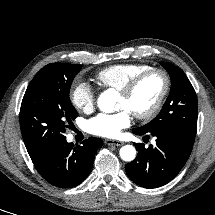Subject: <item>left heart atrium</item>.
Returning a JSON list of instances; mask_svg holds the SVG:
<instances>
[{
    "label": "left heart atrium",
    "mask_w": 215,
    "mask_h": 215,
    "mask_svg": "<svg viewBox=\"0 0 215 215\" xmlns=\"http://www.w3.org/2000/svg\"><path fill=\"white\" fill-rule=\"evenodd\" d=\"M132 114L128 109L113 114L101 113L88 122V130L91 134L104 137L116 138L121 131L130 126Z\"/></svg>",
    "instance_id": "1"
}]
</instances>
